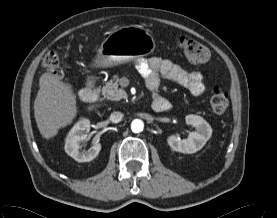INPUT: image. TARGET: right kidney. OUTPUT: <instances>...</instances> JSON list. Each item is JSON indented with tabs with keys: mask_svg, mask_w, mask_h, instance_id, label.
Returning a JSON list of instances; mask_svg holds the SVG:
<instances>
[{
	"mask_svg": "<svg viewBox=\"0 0 277 218\" xmlns=\"http://www.w3.org/2000/svg\"><path fill=\"white\" fill-rule=\"evenodd\" d=\"M90 126V120L82 118L72 127L66 137L65 152L77 162H90L101 150V144L95 143L89 150L79 151L81 143L87 138Z\"/></svg>",
	"mask_w": 277,
	"mask_h": 218,
	"instance_id": "ca27d5eb",
	"label": "right kidney"
}]
</instances>
